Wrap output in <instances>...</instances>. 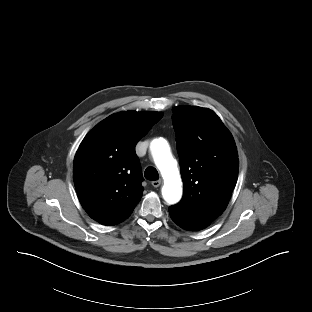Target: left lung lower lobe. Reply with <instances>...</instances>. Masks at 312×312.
Returning <instances> with one entry per match:
<instances>
[{
    "mask_svg": "<svg viewBox=\"0 0 312 312\" xmlns=\"http://www.w3.org/2000/svg\"><path fill=\"white\" fill-rule=\"evenodd\" d=\"M169 214L172 220L178 226L187 230H201V229L206 228L210 224V223L192 218L188 215H185L184 213L173 208L172 206L169 208Z\"/></svg>",
    "mask_w": 312,
    "mask_h": 312,
    "instance_id": "left-lung-lower-lobe-1",
    "label": "left lung lower lobe"
}]
</instances>
